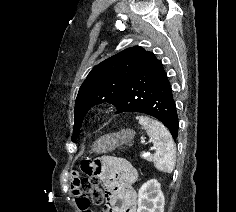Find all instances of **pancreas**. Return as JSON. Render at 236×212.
I'll return each mask as SVG.
<instances>
[{
  "label": "pancreas",
  "instance_id": "obj_1",
  "mask_svg": "<svg viewBox=\"0 0 236 212\" xmlns=\"http://www.w3.org/2000/svg\"><path fill=\"white\" fill-rule=\"evenodd\" d=\"M152 156L151 155H146L144 156V159H146L147 161H152Z\"/></svg>",
  "mask_w": 236,
  "mask_h": 212
}]
</instances>
